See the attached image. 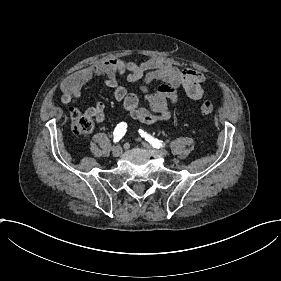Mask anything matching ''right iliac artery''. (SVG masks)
<instances>
[{
	"instance_id": "right-iliac-artery-1",
	"label": "right iliac artery",
	"mask_w": 281,
	"mask_h": 281,
	"mask_svg": "<svg viewBox=\"0 0 281 281\" xmlns=\"http://www.w3.org/2000/svg\"><path fill=\"white\" fill-rule=\"evenodd\" d=\"M127 124L124 122H121L117 125L115 128L113 134H114V142H118L126 133Z\"/></svg>"
}]
</instances>
